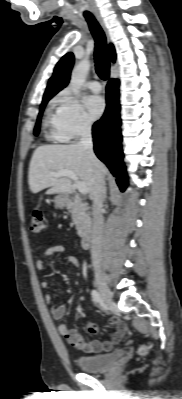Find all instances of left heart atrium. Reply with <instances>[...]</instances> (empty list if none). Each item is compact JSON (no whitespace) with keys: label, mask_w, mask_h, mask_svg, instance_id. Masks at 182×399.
Returning <instances> with one entry per match:
<instances>
[{"label":"left heart atrium","mask_w":182,"mask_h":399,"mask_svg":"<svg viewBox=\"0 0 182 399\" xmlns=\"http://www.w3.org/2000/svg\"><path fill=\"white\" fill-rule=\"evenodd\" d=\"M85 105L88 115L92 120L100 118L105 109L104 99L99 95H91L87 97Z\"/></svg>","instance_id":"left-heart-atrium-1"}]
</instances>
